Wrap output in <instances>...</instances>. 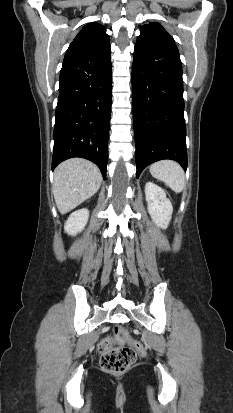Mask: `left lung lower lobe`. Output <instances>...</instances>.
I'll return each mask as SVG.
<instances>
[{
	"label": "left lung lower lobe",
	"mask_w": 233,
	"mask_h": 413,
	"mask_svg": "<svg viewBox=\"0 0 233 413\" xmlns=\"http://www.w3.org/2000/svg\"><path fill=\"white\" fill-rule=\"evenodd\" d=\"M132 95L137 178L162 159L186 171L182 65L175 43L161 37L136 42Z\"/></svg>",
	"instance_id": "0a47b994"
}]
</instances>
